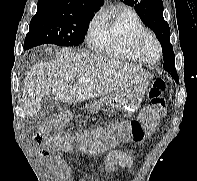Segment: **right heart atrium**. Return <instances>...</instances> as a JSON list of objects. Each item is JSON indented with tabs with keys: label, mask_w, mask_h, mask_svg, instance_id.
<instances>
[{
	"label": "right heart atrium",
	"mask_w": 197,
	"mask_h": 181,
	"mask_svg": "<svg viewBox=\"0 0 197 181\" xmlns=\"http://www.w3.org/2000/svg\"><path fill=\"white\" fill-rule=\"evenodd\" d=\"M102 15L100 13H96L93 18L91 19L88 27V35L90 39H92L93 35L96 33L98 30L101 22H102Z\"/></svg>",
	"instance_id": "obj_1"
}]
</instances>
